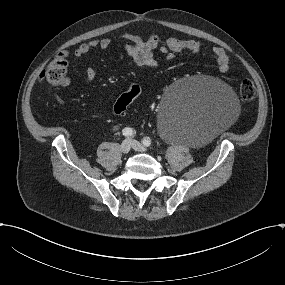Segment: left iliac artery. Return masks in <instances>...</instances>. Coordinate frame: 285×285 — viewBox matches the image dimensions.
<instances>
[{
  "mask_svg": "<svg viewBox=\"0 0 285 285\" xmlns=\"http://www.w3.org/2000/svg\"><path fill=\"white\" fill-rule=\"evenodd\" d=\"M151 143L152 142H151V139L149 137H146L143 139L144 146L149 147V146H151Z\"/></svg>",
  "mask_w": 285,
  "mask_h": 285,
  "instance_id": "1",
  "label": "left iliac artery"
}]
</instances>
